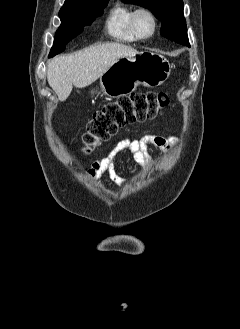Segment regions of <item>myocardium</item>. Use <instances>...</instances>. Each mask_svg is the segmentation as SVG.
<instances>
[{
  "instance_id": "f54148a6",
  "label": "myocardium",
  "mask_w": 240,
  "mask_h": 329,
  "mask_svg": "<svg viewBox=\"0 0 240 329\" xmlns=\"http://www.w3.org/2000/svg\"><path fill=\"white\" fill-rule=\"evenodd\" d=\"M142 15L147 16L152 22V30L147 35L141 34L137 28V21H138L139 17ZM130 25H131V30H132L133 34L135 35V37L137 39H140V40H146V39L153 37L158 29V21H157L155 14L152 12V10L145 8V7H140V8H137L134 10L132 17H131Z\"/></svg>"
}]
</instances>
